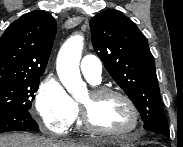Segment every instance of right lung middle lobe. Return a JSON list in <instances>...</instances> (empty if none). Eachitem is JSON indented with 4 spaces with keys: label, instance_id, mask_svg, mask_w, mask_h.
<instances>
[{
    "label": "right lung middle lobe",
    "instance_id": "1",
    "mask_svg": "<svg viewBox=\"0 0 183 147\" xmlns=\"http://www.w3.org/2000/svg\"><path fill=\"white\" fill-rule=\"evenodd\" d=\"M41 77V76H40ZM40 77L0 81V113L14 110H29Z\"/></svg>",
    "mask_w": 183,
    "mask_h": 147
}]
</instances>
